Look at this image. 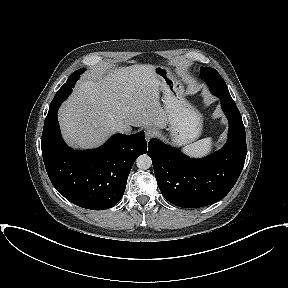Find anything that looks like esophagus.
I'll return each mask as SVG.
<instances>
[{
	"label": "esophagus",
	"instance_id": "obj_1",
	"mask_svg": "<svg viewBox=\"0 0 288 288\" xmlns=\"http://www.w3.org/2000/svg\"><path fill=\"white\" fill-rule=\"evenodd\" d=\"M154 136H155V130L153 128H147L145 130V138L147 141H149Z\"/></svg>",
	"mask_w": 288,
	"mask_h": 288
}]
</instances>
